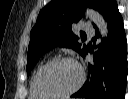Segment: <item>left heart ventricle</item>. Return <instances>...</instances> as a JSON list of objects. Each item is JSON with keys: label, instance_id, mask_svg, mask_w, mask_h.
<instances>
[{"label": "left heart ventricle", "instance_id": "obj_1", "mask_svg": "<svg viewBox=\"0 0 128 99\" xmlns=\"http://www.w3.org/2000/svg\"><path fill=\"white\" fill-rule=\"evenodd\" d=\"M79 79V68L74 63L63 62L46 68L39 77V86L48 93H61L73 88Z\"/></svg>", "mask_w": 128, "mask_h": 99}]
</instances>
